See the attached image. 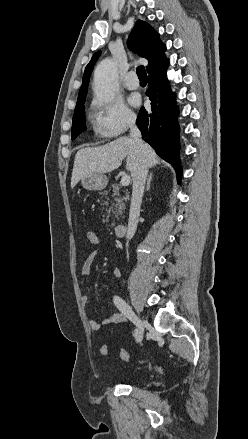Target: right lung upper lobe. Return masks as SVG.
Segmentation results:
<instances>
[{"instance_id": "cb5924a9", "label": "right lung upper lobe", "mask_w": 248, "mask_h": 439, "mask_svg": "<svg viewBox=\"0 0 248 439\" xmlns=\"http://www.w3.org/2000/svg\"><path fill=\"white\" fill-rule=\"evenodd\" d=\"M128 44L136 53L148 60L147 72L168 63V59L164 56L166 46L161 42L159 34L145 21L136 22L130 33ZM99 54L100 52L95 53L85 68L75 110L82 107L85 102L91 72Z\"/></svg>"}]
</instances>
